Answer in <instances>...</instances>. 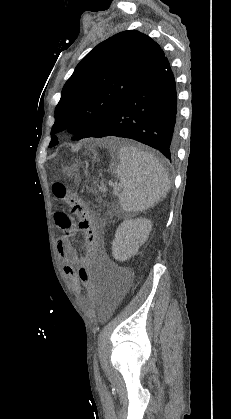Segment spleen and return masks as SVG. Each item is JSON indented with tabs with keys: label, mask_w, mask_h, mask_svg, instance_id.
I'll return each instance as SVG.
<instances>
[{
	"label": "spleen",
	"mask_w": 231,
	"mask_h": 419,
	"mask_svg": "<svg viewBox=\"0 0 231 419\" xmlns=\"http://www.w3.org/2000/svg\"><path fill=\"white\" fill-rule=\"evenodd\" d=\"M115 174L119 178V203L125 212H143L169 191V177L151 154L131 146L119 149Z\"/></svg>",
	"instance_id": "1"
}]
</instances>
